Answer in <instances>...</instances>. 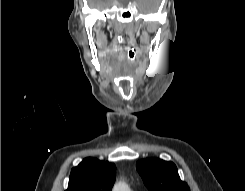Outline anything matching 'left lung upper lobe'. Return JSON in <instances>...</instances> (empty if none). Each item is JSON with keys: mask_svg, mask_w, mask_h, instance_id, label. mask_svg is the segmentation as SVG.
Masks as SVG:
<instances>
[{"mask_svg": "<svg viewBox=\"0 0 245 191\" xmlns=\"http://www.w3.org/2000/svg\"><path fill=\"white\" fill-rule=\"evenodd\" d=\"M136 167L151 191H190L188 185L180 180L177 167L172 162L147 158L137 162Z\"/></svg>", "mask_w": 245, "mask_h": 191, "instance_id": "obj_1", "label": "left lung upper lobe"}]
</instances>
